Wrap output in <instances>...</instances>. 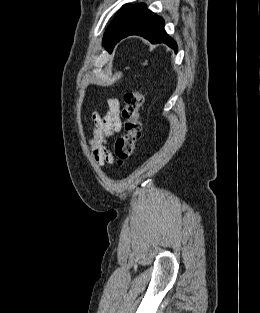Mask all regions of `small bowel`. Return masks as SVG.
Returning a JSON list of instances; mask_svg holds the SVG:
<instances>
[{
    "label": "small bowel",
    "instance_id": "c3829d8e",
    "mask_svg": "<svg viewBox=\"0 0 260 313\" xmlns=\"http://www.w3.org/2000/svg\"><path fill=\"white\" fill-rule=\"evenodd\" d=\"M120 102L116 98L107 100L104 115H92L93 130L90 136V149L94 160L100 166L112 162V155L107 147L108 138L121 130Z\"/></svg>",
    "mask_w": 260,
    "mask_h": 313
}]
</instances>
